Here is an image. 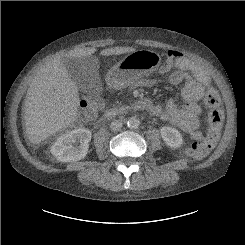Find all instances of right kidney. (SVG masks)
I'll return each instance as SVG.
<instances>
[{"mask_svg":"<svg viewBox=\"0 0 245 245\" xmlns=\"http://www.w3.org/2000/svg\"><path fill=\"white\" fill-rule=\"evenodd\" d=\"M91 131L85 128L72 130L51 146V153L60 162H74L83 159L89 149Z\"/></svg>","mask_w":245,"mask_h":245,"instance_id":"ca27d5eb","label":"right kidney"}]
</instances>
